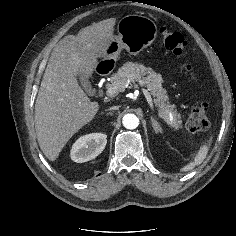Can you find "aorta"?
I'll use <instances>...</instances> for the list:
<instances>
[{
    "label": "aorta",
    "mask_w": 236,
    "mask_h": 236,
    "mask_svg": "<svg viewBox=\"0 0 236 236\" xmlns=\"http://www.w3.org/2000/svg\"><path fill=\"white\" fill-rule=\"evenodd\" d=\"M122 123L126 129H135L139 125V119L134 114H126L123 116Z\"/></svg>",
    "instance_id": "762f6f07"
}]
</instances>
